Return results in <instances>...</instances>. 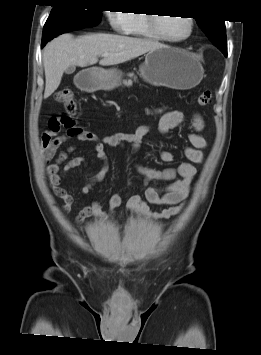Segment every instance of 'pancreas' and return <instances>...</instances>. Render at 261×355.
<instances>
[{"instance_id":"1","label":"pancreas","mask_w":261,"mask_h":355,"mask_svg":"<svg viewBox=\"0 0 261 355\" xmlns=\"http://www.w3.org/2000/svg\"><path fill=\"white\" fill-rule=\"evenodd\" d=\"M127 76L130 78L128 80H124L123 81V85L130 87L133 84L132 78L134 79V81H136L137 77L134 75V73H128Z\"/></svg>"}]
</instances>
